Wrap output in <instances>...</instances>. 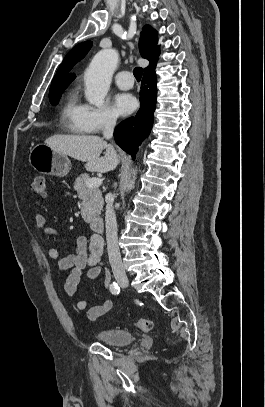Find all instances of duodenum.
<instances>
[{"instance_id": "duodenum-1", "label": "duodenum", "mask_w": 265, "mask_h": 407, "mask_svg": "<svg viewBox=\"0 0 265 407\" xmlns=\"http://www.w3.org/2000/svg\"><path fill=\"white\" fill-rule=\"evenodd\" d=\"M90 227L93 231L98 234H102L104 232V221L102 218H93L90 222Z\"/></svg>"}]
</instances>
